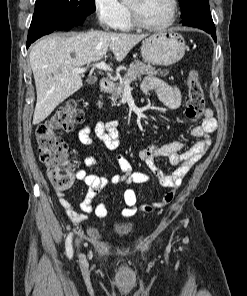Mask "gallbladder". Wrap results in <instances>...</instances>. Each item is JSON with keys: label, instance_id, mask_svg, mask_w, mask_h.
Segmentation results:
<instances>
[{"label": "gallbladder", "instance_id": "1", "mask_svg": "<svg viewBox=\"0 0 247 296\" xmlns=\"http://www.w3.org/2000/svg\"><path fill=\"white\" fill-rule=\"evenodd\" d=\"M95 81H96L95 77H90V78L87 79V82L90 83V84L94 83Z\"/></svg>", "mask_w": 247, "mask_h": 296}]
</instances>
